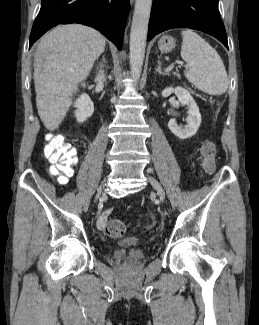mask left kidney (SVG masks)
<instances>
[{
	"label": "left kidney",
	"instance_id": "left-kidney-1",
	"mask_svg": "<svg viewBox=\"0 0 259 325\" xmlns=\"http://www.w3.org/2000/svg\"><path fill=\"white\" fill-rule=\"evenodd\" d=\"M172 93H175L181 104L187 106L188 116L186 118L187 124L184 128L178 126L175 119H171L168 122V127L171 132L178 138L187 139L196 134L201 123V114L196 102L194 101L189 91L182 87H168L162 91V96L168 97Z\"/></svg>",
	"mask_w": 259,
	"mask_h": 325
}]
</instances>
